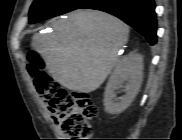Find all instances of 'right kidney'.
Instances as JSON below:
<instances>
[{"label":"right kidney","mask_w":182,"mask_h":140,"mask_svg":"<svg viewBox=\"0 0 182 140\" xmlns=\"http://www.w3.org/2000/svg\"><path fill=\"white\" fill-rule=\"evenodd\" d=\"M143 80V57L129 54L123 57L113 70L104 93L105 110L110 114L123 112L135 99ZM125 84L126 94L119 100L116 90Z\"/></svg>","instance_id":"1"}]
</instances>
